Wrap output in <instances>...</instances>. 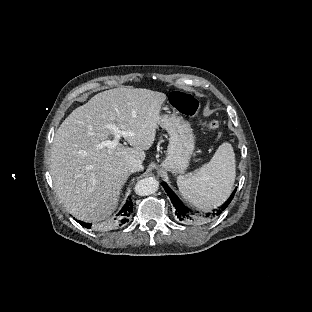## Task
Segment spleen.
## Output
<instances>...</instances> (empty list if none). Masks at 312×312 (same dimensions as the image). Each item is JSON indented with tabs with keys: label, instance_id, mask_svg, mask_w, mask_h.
I'll return each mask as SVG.
<instances>
[{
	"label": "spleen",
	"instance_id": "obj_1",
	"mask_svg": "<svg viewBox=\"0 0 312 312\" xmlns=\"http://www.w3.org/2000/svg\"><path fill=\"white\" fill-rule=\"evenodd\" d=\"M235 179V159L229 143L219 145L209 163L177 176L180 193L193 206L211 209L222 204Z\"/></svg>",
	"mask_w": 312,
	"mask_h": 312
}]
</instances>
